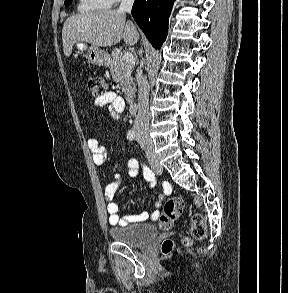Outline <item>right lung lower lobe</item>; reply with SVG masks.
Listing matches in <instances>:
<instances>
[{
	"label": "right lung lower lobe",
	"mask_w": 288,
	"mask_h": 293,
	"mask_svg": "<svg viewBox=\"0 0 288 293\" xmlns=\"http://www.w3.org/2000/svg\"><path fill=\"white\" fill-rule=\"evenodd\" d=\"M175 0H135L132 16L154 48H160L168 33V17Z\"/></svg>",
	"instance_id": "obj_1"
}]
</instances>
